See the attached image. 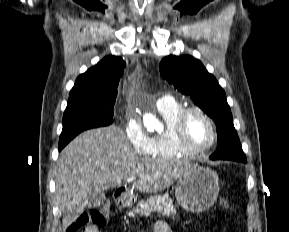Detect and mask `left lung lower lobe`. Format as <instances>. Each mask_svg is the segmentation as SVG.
I'll return each mask as SVG.
<instances>
[{"mask_svg": "<svg viewBox=\"0 0 289 232\" xmlns=\"http://www.w3.org/2000/svg\"><path fill=\"white\" fill-rule=\"evenodd\" d=\"M235 161H236V160H235ZM241 162L246 163V161H241Z\"/></svg>", "mask_w": 289, "mask_h": 232, "instance_id": "1", "label": "left lung lower lobe"}]
</instances>
